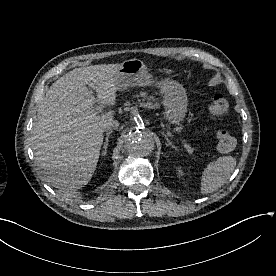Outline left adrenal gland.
<instances>
[{
    "mask_svg": "<svg viewBox=\"0 0 276 276\" xmlns=\"http://www.w3.org/2000/svg\"><path fill=\"white\" fill-rule=\"evenodd\" d=\"M162 135L165 137V139L167 141L166 145L171 146L172 148H174L176 150L177 148L172 144V142L169 140L168 136L164 132H162Z\"/></svg>",
    "mask_w": 276,
    "mask_h": 276,
    "instance_id": "a2214340",
    "label": "left adrenal gland"
}]
</instances>
